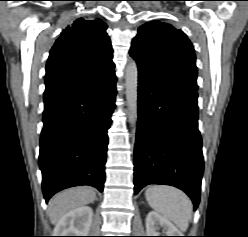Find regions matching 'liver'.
<instances>
[{
  "label": "liver",
  "mask_w": 248,
  "mask_h": 237,
  "mask_svg": "<svg viewBox=\"0 0 248 237\" xmlns=\"http://www.w3.org/2000/svg\"><path fill=\"white\" fill-rule=\"evenodd\" d=\"M96 193L91 187H76L56 194L49 202L48 213L52 224L56 225L68 212L92 203Z\"/></svg>",
  "instance_id": "6515ba94"
}]
</instances>
